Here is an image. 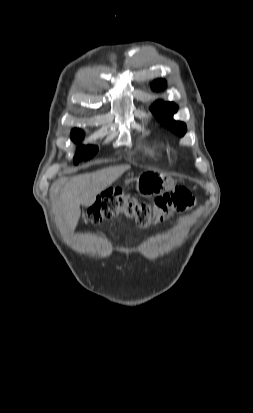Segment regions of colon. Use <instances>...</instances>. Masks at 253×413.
Segmentation results:
<instances>
[{
	"label": "colon",
	"mask_w": 253,
	"mask_h": 413,
	"mask_svg": "<svg viewBox=\"0 0 253 413\" xmlns=\"http://www.w3.org/2000/svg\"><path fill=\"white\" fill-rule=\"evenodd\" d=\"M194 204L191 193L184 187H178L171 193L158 196L153 203H146L124 194L121 190H112L100 195L93 206L87 210V220L100 222L123 214L135 220L141 227L157 224L176 212L190 209Z\"/></svg>",
	"instance_id": "5ec220e1"
}]
</instances>
